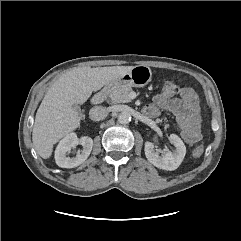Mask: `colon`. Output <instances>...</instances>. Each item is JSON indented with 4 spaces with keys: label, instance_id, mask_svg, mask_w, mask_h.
<instances>
[{
    "label": "colon",
    "instance_id": "obj_1",
    "mask_svg": "<svg viewBox=\"0 0 241 241\" xmlns=\"http://www.w3.org/2000/svg\"><path fill=\"white\" fill-rule=\"evenodd\" d=\"M179 91V88L176 84L172 82H166L161 89V94L167 98L173 97L175 94H177ZM204 153V147L203 146H197L194 151L193 155L195 157H201Z\"/></svg>",
    "mask_w": 241,
    "mask_h": 241
}]
</instances>
